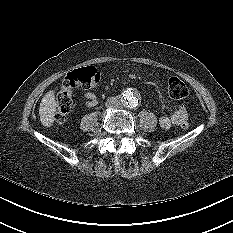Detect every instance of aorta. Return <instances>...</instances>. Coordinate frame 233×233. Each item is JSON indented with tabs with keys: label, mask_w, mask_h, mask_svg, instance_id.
<instances>
[{
	"label": "aorta",
	"mask_w": 233,
	"mask_h": 233,
	"mask_svg": "<svg viewBox=\"0 0 233 233\" xmlns=\"http://www.w3.org/2000/svg\"><path fill=\"white\" fill-rule=\"evenodd\" d=\"M123 98H124L126 104L131 108H134L138 105V98L135 95V93L131 90H126L123 93Z\"/></svg>",
	"instance_id": "762f6f07"
}]
</instances>
